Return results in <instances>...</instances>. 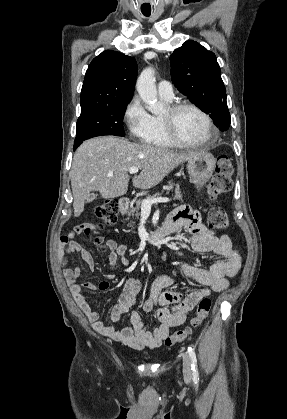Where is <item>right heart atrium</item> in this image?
<instances>
[{
    "instance_id": "d8ad5b80",
    "label": "right heart atrium",
    "mask_w": 287,
    "mask_h": 419,
    "mask_svg": "<svg viewBox=\"0 0 287 419\" xmlns=\"http://www.w3.org/2000/svg\"><path fill=\"white\" fill-rule=\"evenodd\" d=\"M123 119L129 134L134 138L143 139L151 130L152 116L138 96L133 97L127 105Z\"/></svg>"
}]
</instances>
